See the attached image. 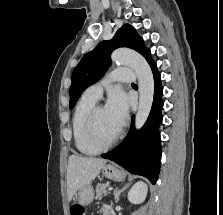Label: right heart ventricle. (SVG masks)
I'll list each match as a JSON object with an SVG mask.
<instances>
[{
  "mask_svg": "<svg viewBox=\"0 0 223 215\" xmlns=\"http://www.w3.org/2000/svg\"><path fill=\"white\" fill-rule=\"evenodd\" d=\"M96 101L83 96L78 102L72 118V135L75 148L84 155H97L98 152L89 144L86 136V125L89 114Z\"/></svg>",
  "mask_w": 223,
  "mask_h": 215,
  "instance_id": "right-heart-ventricle-1",
  "label": "right heart ventricle"
}]
</instances>
